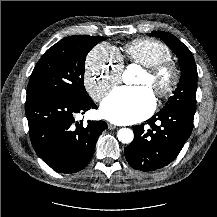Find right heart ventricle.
Instances as JSON below:
<instances>
[{"label":"right heart ventricle","instance_id":"1","mask_svg":"<svg viewBox=\"0 0 217 217\" xmlns=\"http://www.w3.org/2000/svg\"><path fill=\"white\" fill-rule=\"evenodd\" d=\"M122 59L151 67L171 58V51L164 43L152 38H138L123 48Z\"/></svg>","mask_w":217,"mask_h":217}]
</instances>
